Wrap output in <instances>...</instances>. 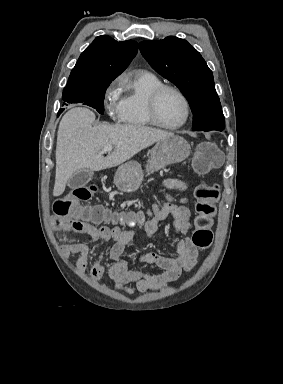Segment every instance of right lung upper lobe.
Wrapping results in <instances>:
<instances>
[{
	"label": "right lung upper lobe",
	"instance_id": "cb5924a9",
	"mask_svg": "<svg viewBox=\"0 0 283 384\" xmlns=\"http://www.w3.org/2000/svg\"><path fill=\"white\" fill-rule=\"evenodd\" d=\"M138 50L133 40L117 42L102 35L80 55L65 88L111 83L130 64Z\"/></svg>",
	"mask_w": 283,
	"mask_h": 384
}]
</instances>
